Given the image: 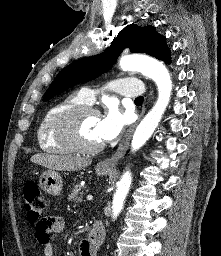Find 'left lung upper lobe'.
<instances>
[{
	"instance_id": "left-lung-upper-lobe-1",
	"label": "left lung upper lobe",
	"mask_w": 221,
	"mask_h": 256,
	"mask_svg": "<svg viewBox=\"0 0 221 256\" xmlns=\"http://www.w3.org/2000/svg\"><path fill=\"white\" fill-rule=\"evenodd\" d=\"M126 47H129L131 52L145 53L170 63V52L165 37L157 34L155 27L127 25L105 52L77 60L62 69L47 89L43 100L48 101L78 83L90 81L107 72Z\"/></svg>"
}]
</instances>
